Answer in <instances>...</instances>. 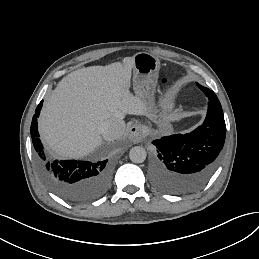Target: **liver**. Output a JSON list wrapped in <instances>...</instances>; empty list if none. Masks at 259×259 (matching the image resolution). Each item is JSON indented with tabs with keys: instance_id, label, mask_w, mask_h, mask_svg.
<instances>
[{
	"instance_id": "liver-1",
	"label": "liver",
	"mask_w": 259,
	"mask_h": 259,
	"mask_svg": "<svg viewBox=\"0 0 259 259\" xmlns=\"http://www.w3.org/2000/svg\"><path fill=\"white\" fill-rule=\"evenodd\" d=\"M134 64L127 57L124 63L79 69L62 79L39 118L44 144L62 157L83 156L99 146V126L119 113L130 114Z\"/></svg>"
}]
</instances>
